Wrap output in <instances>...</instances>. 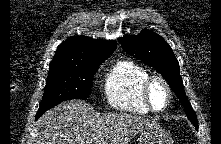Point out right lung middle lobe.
Wrapping results in <instances>:
<instances>
[{
    "mask_svg": "<svg viewBox=\"0 0 221 144\" xmlns=\"http://www.w3.org/2000/svg\"><path fill=\"white\" fill-rule=\"evenodd\" d=\"M101 63L50 65L44 96L36 113V119L63 101L87 99L91 94L93 75Z\"/></svg>",
    "mask_w": 221,
    "mask_h": 144,
    "instance_id": "right-lung-middle-lobe-1",
    "label": "right lung middle lobe"
}]
</instances>
